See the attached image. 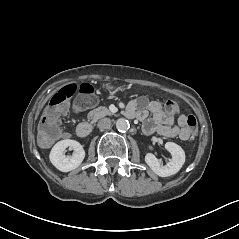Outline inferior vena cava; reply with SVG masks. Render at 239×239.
<instances>
[{
    "instance_id": "inferior-vena-cava-1",
    "label": "inferior vena cava",
    "mask_w": 239,
    "mask_h": 239,
    "mask_svg": "<svg viewBox=\"0 0 239 239\" xmlns=\"http://www.w3.org/2000/svg\"><path fill=\"white\" fill-rule=\"evenodd\" d=\"M111 126V120L109 118H102L98 121V127L100 129H108Z\"/></svg>"
}]
</instances>
